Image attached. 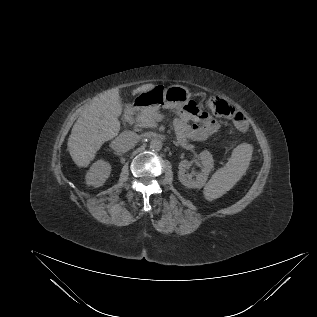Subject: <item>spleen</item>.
<instances>
[{"label": "spleen", "instance_id": "spleen-1", "mask_svg": "<svg viewBox=\"0 0 317 317\" xmlns=\"http://www.w3.org/2000/svg\"><path fill=\"white\" fill-rule=\"evenodd\" d=\"M252 151L250 144H240L233 150L228 163L217 170L204 187L206 200L212 201L221 197L239 181L249 166Z\"/></svg>", "mask_w": 317, "mask_h": 317}]
</instances>
